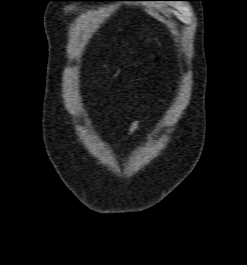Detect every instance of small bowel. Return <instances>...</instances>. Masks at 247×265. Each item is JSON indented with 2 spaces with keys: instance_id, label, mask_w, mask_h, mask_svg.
Masks as SVG:
<instances>
[{
  "instance_id": "c3829d8e",
  "label": "small bowel",
  "mask_w": 247,
  "mask_h": 265,
  "mask_svg": "<svg viewBox=\"0 0 247 265\" xmlns=\"http://www.w3.org/2000/svg\"><path fill=\"white\" fill-rule=\"evenodd\" d=\"M141 123H142V117L139 115L131 123V125H130V127L128 129V136L133 137L134 135H136L139 132V130H140ZM152 137H153V133L150 134L149 140H151Z\"/></svg>"
}]
</instances>
